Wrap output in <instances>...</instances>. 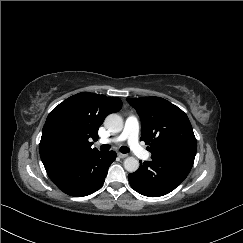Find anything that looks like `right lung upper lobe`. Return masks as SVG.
Segmentation results:
<instances>
[{"instance_id":"cb5924a9","label":"right lung upper lobe","mask_w":243,"mask_h":243,"mask_svg":"<svg viewBox=\"0 0 243 243\" xmlns=\"http://www.w3.org/2000/svg\"><path fill=\"white\" fill-rule=\"evenodd\" d=\"M121 107L118 97L89 92L73 95L56 106L46 119L39 146L45 169L99 152L91 148L92 140L98 139V129L105 117ZM57 135L64 139L61 148L52 145V138Z\"/></svg>"}]
</instances>
